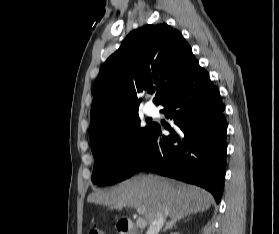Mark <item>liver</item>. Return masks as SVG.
Instances as JSON below:
<instances>
[{
    "instance_id": "obj_1",
    "label": "liver",
    "mask_w": 279,
    "mask_h": 234,
    "mask_svg": "<svg viewBox=\"0 0 279 234\" xmlns=\"http://www.w3.org/2000/svg\"><path fill=\"white\" fill-rule=\"evenodd\" d=\"M88 201L99 205H115L119 209L141 207L146 222L150 224L159 212L173 219L206 211L213 197L193 185L154 175H138L108 192L92 193Z\"/></svg>"
}]
</instances>
